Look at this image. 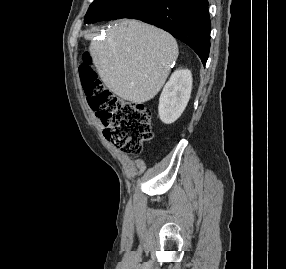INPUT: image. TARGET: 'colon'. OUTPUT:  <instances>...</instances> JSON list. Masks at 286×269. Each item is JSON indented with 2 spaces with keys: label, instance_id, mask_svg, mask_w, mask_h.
I'll return each mask as SVG.
<instances>
[{
  "label": "colon",
  "instance_id": "obj_1",
  "mask_svg": "<svg viewBox=\"0 0 286 269\" xmlns=\"http://www.w3.org/2000/svg\"><path fill=\"white\" fill-rule=\"evenodd\" d=\"M88 103L105 127V137L122 152L139 155L153 135L151 112L142 103L123 102L105 89L89 63L80 65Z\"/></svg>",
  "mask_w": 286,
  "mask_h": 269
}]
</instances>
